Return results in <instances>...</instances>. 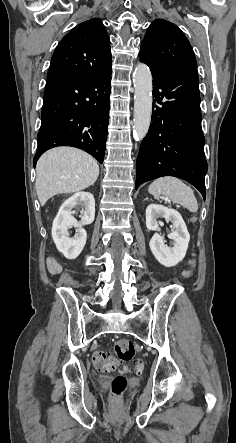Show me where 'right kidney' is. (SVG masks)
<instances>
[{
	"mask_svg": "<svg viewBox=\"0 0 236 443\" xmlns=\"http://www.w3.org/2000/svg\"><path fill=\"white\" fill-rule=\"evenodd\" d=\"M82 207L81 221L78 222L72 211L75 207ZM95 218V200L89 192H77L65 200L61 205L52 226V238L60 251L66 258L75 259L82 252L87 239L84 225L91 224ZM75 227L76 233L70 237L68 230Z\"/></svg>",
	"mask_w": 236,
	"mask_h": 443,
	"instance_id": "ca27d5eb",
	"label": "right kidney"
}]
</instances>
